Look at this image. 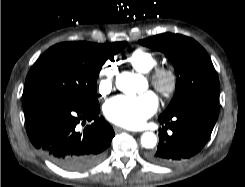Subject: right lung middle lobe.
Segmentation results:
<instances>
[{
	"label": "right lung middle lobe",
	"mask_w": 245,
	"mask_h": 187,
	"mask_svg": "<svg viewBox=\"0 0 245 187\" xmlns=\"http://www.w3.org/2000/svg\"><path fill=\"white\" fill-rule=\"evenodd\" d=\"M127 42L95 44L65 42L49 48L30 69L23 91V108L44 100H65L99 107L96 81L102 65Z\"/></svg>",
	"instance_id": "dd1d6c3e"
}]
</instances>
